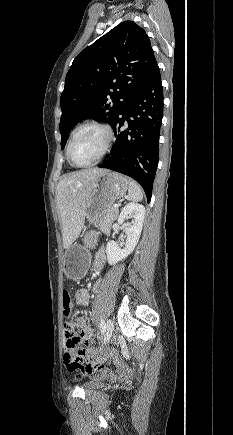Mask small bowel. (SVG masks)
Instances as JSON below:
<instances>
[{
	"label": "small bowel",
	"instance_id": "small-bowel-1",
	"mask_svg": "<svg viewBox=\"0 0 233 435\" xmlns=\"http://www.w3.org/2000/svg\"><path fill=\"white\" fill-rule=\"evenodd\" d=\"M105 253L103 251H99L96 256L95 260L92 265V275L97 276L99 275L105 266ZM101 284V280H97L94 285L93 289L97 290L98 287ZM75 301L78 306H86L90 301V293L87 288H80L75 292ZM72 323L76 326H78L81 329L82 338L86 343V346L82 349L83 352V360L86 358V356H94V352L91 349V344L93 340V329L87 325V320L85 317L78 316L72 320ZM68 324V323H67ZM72 373H78V374H85V375H93V374H99L100 372L97 371H87L85 367L81 364L78 369L74 371H70Z\"/></svg>",
	"mask_w": 233,
	"mask_h": 435
}]
</instances>
